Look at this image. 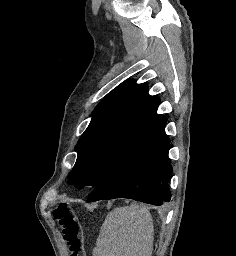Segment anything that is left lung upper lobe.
<instances>
[{
    "label": "left lung upper lobe",
    "mask_w": 236,
    "mask_h": 256,
    "mask_svg": "<svg viewBox=\"0 0 236 256\" xmlns=\"http://www.w3.org/2000/svg\"><path fill=\"white\" fill-rule=\"evenodd\" d=\"M147 91L145 83L125 81L98 104L75 147L69 184L95 188L107 176L132 136L157 111L160 100Z\"/></svg>",
    "instance_id": "obj_1"
}]
</instances>
